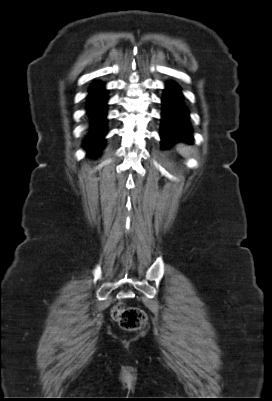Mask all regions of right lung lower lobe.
<instances>
[{
    "label": "right lung lower lobe",
    "instance_id": "obj_1",
    "mask_svg": "<svg viewBox=\"0 0 272 401\" xmlns=\"http://www.w3.org/2000/svg\"><path fill=\"white\" fill-rule=\"evenodd\" d=\"M107 92L101 84L92 86L89 90L88 114L91 116L92 131L85 140V146L89 148V153L96 154L103 147V137L105 136V108Z\"/></svg>",
    "mask_w": 272,
    "mask_h": 401
}]
</instances>
